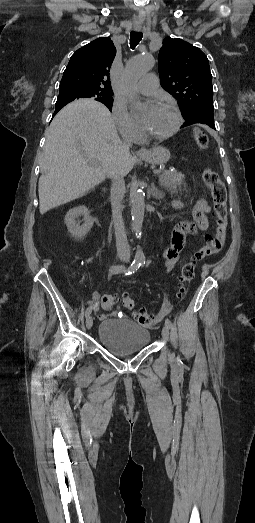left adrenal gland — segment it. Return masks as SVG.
<instances>
[{
    "label": "left adrenal gland",
    "mask_w": 255,
    "mask_h": 523,
    "mask_svg": "<svg viewBox=\"0 0 255 523\" xmlns=\"http://www.w3.org/2000/svg\"><path fill=\"white\" fill-rule=\"evenodd\" d=\"M150 194L152 198H156V200H162V198H164L163 192H161V190H157V188H155V184H151Z\"/></svg>",
    "instance_id": "obj_1"
}]
</instances>
